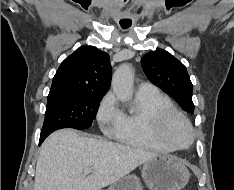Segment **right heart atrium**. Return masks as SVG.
I'll return each mask as SVG.
<instances>
[{
	"instance_id": "obj_1",
	"label": "right heart atrium",
	"mask_w": 234,
	"mask_h": 190,
	"mask_svg": "<svg viewBox=\"0 0 234 190\" xmlns=\"http://www.w3.org/2000/svg\"><path fill=\"white\" fill-rule=\"evenodd\" d=\"M96 119L100 129L105 134L114 135L117 132L121 120V110L113 93L109 92L101 99Z\"/></svg>"
}]
</instances>
